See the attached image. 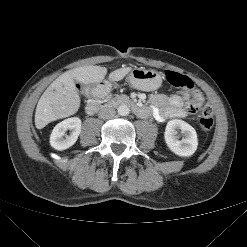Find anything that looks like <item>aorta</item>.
<instances>
[{
  "mask_svg": "<svg viewBox=\"0 0 247 247\" xmlns=\"http://www.w3.org/2000/svg\"><path fill=\"white\" fill-rule=\"evenodd\" d=\"M117 112L121 116H127L130 113V108L126 104H122L117 108Z\"/></svg>",
  "mask_w": 247,
  "mask_h": 247,
  "instance_id": "aorta-1",
  "label": "aorta"
}]
</instances>
